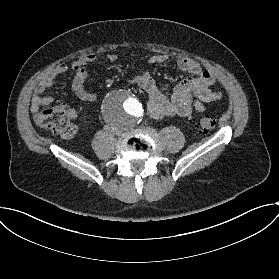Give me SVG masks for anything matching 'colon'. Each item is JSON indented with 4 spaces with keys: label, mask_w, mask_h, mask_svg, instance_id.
Here are the masks:
<instances>
[{
    "label": "colon",
    "mask_w": 279,
    "mask_h": 279,
    "mask_svg": "<svg viewBox=\"0 0 279 279\" xmlns=\"http://www.w3.org/2000/svg\"><path fill=\"white\" fill-rule=\"evenodd\" d=\"M37 123L52 134L62 138H70L76 128L72 123V108L68 104H57L53 108L42 109L36 115ZM216 122L211 114H204L199 118L197 127L199 132L206 133L214 128Z\"/></svg>",
    "instance_id": "colon-1"
}]
</instances>
